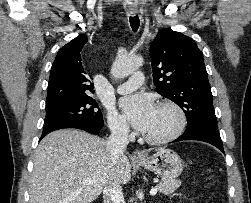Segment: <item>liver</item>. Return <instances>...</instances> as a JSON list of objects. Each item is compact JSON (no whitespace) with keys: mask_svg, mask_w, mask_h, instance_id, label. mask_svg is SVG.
Listing matches in <instances>:
<instances>
[{"mask_svg":"<svg viewBox=\"0 0 251 203\" xmlns=\"http://www.w3.org/2000/svg\"><path fill=\"white\" fill-rule=\"evenodd\" d=\"M130 179L129 159L123 154L114 163L106 140L80 130H58L43 138L35 152L30 203H91L109 184Z\"/></svg>","mask_w":251,"mask_h":203,"instance_id":"1","label":"liver"}]
</instances>
